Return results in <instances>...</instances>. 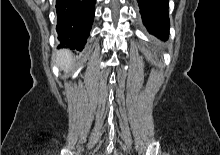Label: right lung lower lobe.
Listing matches in <instances>:
<instances>
[{
    "instance_id": "1",
    "label": "right lung lower lobe",
    "mask_w": 220,
    "mask_h": 155,
    "mask_svg": "<svg viewBox=\"0 0 220 155\" xmlns=\"http://www.w3.org/2000/svg\"><path fill=\"white\" fill-rule=\"evenodd\" d=\"M96 0H56L60 47L82 51L91 30Z\"/></svg>"
}]
</instances>
